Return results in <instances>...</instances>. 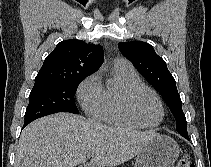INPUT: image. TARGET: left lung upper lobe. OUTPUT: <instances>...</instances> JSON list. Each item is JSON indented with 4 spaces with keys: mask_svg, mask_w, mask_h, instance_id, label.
I'll list each match as a JSON object with an SVG mask.
<instances>
[{
    "mask_svg": "<svg viewBox=\"0 0 211 167\" xmlns=\"http://www.w3.org/2000/svg\"><path fill=\"white\" fill-rule=\"evenodd\" d=\"M120 52L128 58L144 78L161 94L176 119V130L186 135V118L176 82L167 69L166 62L159 57L154 48L142 41L121 42Z\"/></svg>",
    "mask_w": 211,
    "mask_h": 167,
    "instance_id": "1",
    "label": "left lung upper lobe"
}]
</instances>
